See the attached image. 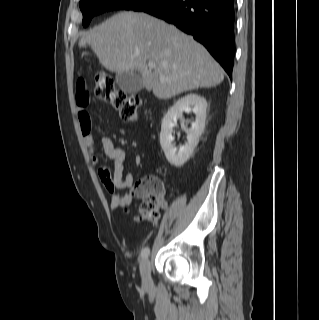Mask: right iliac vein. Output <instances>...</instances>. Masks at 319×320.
Masks as SVG:
<instances>
[{
	"label": "right iliac vein",
	"instance_id": "63e3f726",
	"mask_svg": "<svg viewBox=\"0 0 319 320\" xmlns=\"http://www.w3.org/2000/svg\"><path fill=\"white\" fill-rule=\"evenodd\" d=\"M141 278L143 286L146 288L152 287L151 266L148 259L144 260L140 266Z\"/></svg>",
	"mask_w": 319,
	"mask_h": 320
}]
</instances>
